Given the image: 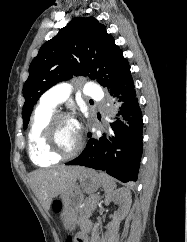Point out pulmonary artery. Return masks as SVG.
<instances>
[{
    "instance_id": "1",
    "label": "pulmonary artery",
    "mask_w": 187,
    "mask_h": 242,
    "mask_svg": "<svg viewBox=\"0 0 187 242\" xmlns=\"http://www.w3.org/2000/svg\"><path fill=\"white\" fill-rule=\"evenodd\" d=\"M71 88L67 83L58 84L49 89L41 98V103L56 108L59 104L65 101L70 94ZM84 93L90 98L96 99L100 96L101 89L98 85L88 82L84 85Z\"/></svg>"
}]
</instances>
